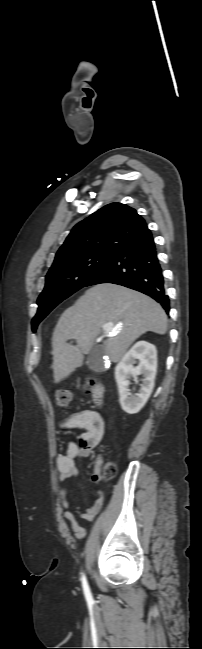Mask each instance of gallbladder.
I'll return each mask as SVG.
<instances>
[{
    "instance_id": "bac80fb5",
    "label": "gallbladder",
    "mask_w": 202,
    "mask_h": 649,
    "mask_svg": "<svg viewBox=\"0 0 202 649\" xmlns=\"http://www.w3.org/2000/svg\"><path fill=\"white\" fill-rule=\"evenodd\" d=\"M87 365L92 370H102L103 352L93 347L87 355Z\"/></svg>"
}]
</instances>
